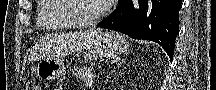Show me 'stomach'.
<instances>
[{"label":"stomach","instance_id":"obj_1","mask_svg":"<svg viewBox=\"0 0 216 90\" xmlns=\"http://www.w3.org/2000/svg\"><path fill=\"white\" fill-rule=\"evenodd\" d=\"M127 50L128 43L121 34L107 31L86 48V55L91 59L111 58ZM36 74L41 80L52 81L65 75V65L61 59H45L38 64Z\"/></svg>","mask_w":216,"mask_h":90}]
</instances>
